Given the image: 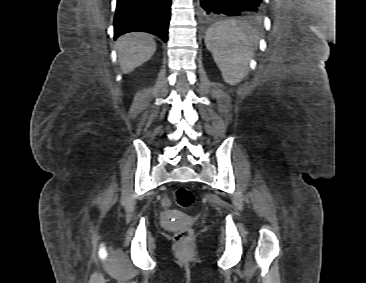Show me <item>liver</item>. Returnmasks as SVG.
Segmentation results:
<instances>
[{"instance_id":"obj_1","label":"liver","mask_w":366,"mask_h":283,"mask_svg":"<svg viewBox=\"0 0 366 283\" xmlns=\"http://www.w3.org/2000/svg\"><path fill=\"white\" fill-rule=\"evenodd\" d=\"M115 44L121 69L126 74L151 59L156 51L153 36L144 32L126 33Z\"/></svg>"}]
</instances>
